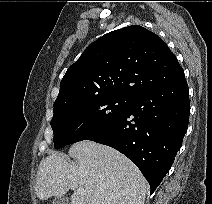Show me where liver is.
Segmentation results:
<instances>
[{"instance_id": "obj_1", "label": "liver", "mask_w": 212, "mask_h": 204, "mask_svg": "<svg viewBox=\"0 0 212 204\" xmlns=\"http://www.w3.org/2000/svg\"><path fill=\"white\" fill-rule=\"evenodd\" d=\"M69 155L77 164L58 153H51L40 164L36 180L40 200L63 196L71 189V204H144L147 181L117 150L85 140L73 144ZM79 187L83 193H77Z\"/></svg>"}]
</instances>
